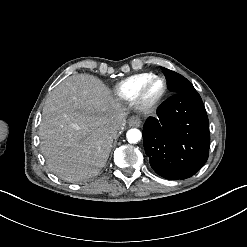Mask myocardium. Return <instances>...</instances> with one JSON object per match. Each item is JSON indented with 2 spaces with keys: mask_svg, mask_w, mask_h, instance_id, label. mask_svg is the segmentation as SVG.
<instances>
[{
  "mask_svg": "<svg viewBox=\"0 0 247 247\" xmlns=\"http://www.w3.org/2000/svg\"><path fill=\"white\" fill-rule=\"evenodd\" d=\"M156 81H162L164 84L163 91L154 99L148 100L146 98V91L148 87ZM168 92V83L162 76H152L146 79L138 88L135 98L132 101L133 108L138 112H149L157 107L163 99L166 97Z\"/></svg>",
  "mask_w": 247,
  "mask_h": 247,
  "instance_id": "f54148a6",
  "label": "myocardium"
}]
</instances>
